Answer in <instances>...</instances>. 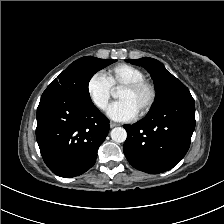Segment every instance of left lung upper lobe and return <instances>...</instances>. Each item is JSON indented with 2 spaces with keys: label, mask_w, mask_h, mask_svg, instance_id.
<instances>
[{
  "label": "left lung upper lobe",
  "mask_w": 224,
  "mask_h": 224,
  "mask_svg": "<svg viewBox=\"0 0 224 224\" xmlns=\"http://www.w3.org/2000/svg\"><path fill=\"white\" fill-rule=\"evenodd\" d=\"M126 61L143 66L149 71L154 80L156 97L149 112L158 110L175 99L191 95L188 88L169 73L158 60L144 57L141 59H127Z\"/></svg>",
  "instance_id": "obj_1"
}]
</instances>
